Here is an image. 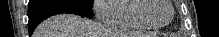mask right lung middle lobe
<instances>
[{"label":"right lung middle lobe","instance_id":"dd1d6c3e","mask_svg":"<svg viewBox=\"0 0 219 37\" xmlns=\"http://www.w3.org/2000/svg\"><path fill=\"white\" fill-rule=\"evenodd\" d=\"M80 2L85 3L87 5H92V0H80Z\"/></svg>","mask_w":219,"mask_h":37}]
</instances>
